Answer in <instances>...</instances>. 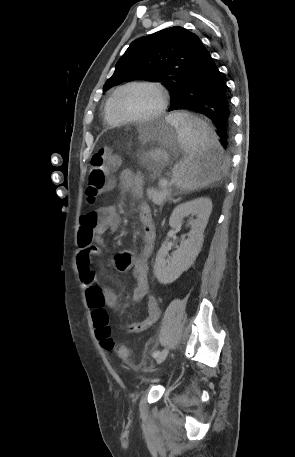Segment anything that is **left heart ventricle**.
I'll return each mask as SVG.
<instances>
[{"instance_id":"obj_1","label":"left heart ventricle","mask_w":295,"mask_h":457,"mask_svg":"<svg viewBox=\"0 0 295 457\" xmlns=\"http://www.w3.org/2000/svg\"><path fill=\"white\" fill-rule=\"evenodd\" d=\"M159 106L157 91L149 86H132L122 90L115 102L116 111L124 117H143Z\"/></svg>"}]
</instances>
